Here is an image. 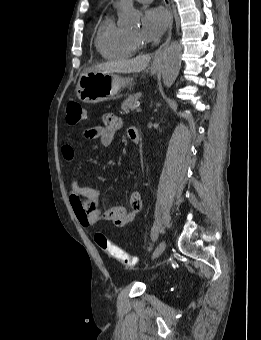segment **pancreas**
Segmentation results:
<instances>
[{"mask_svg": "<svg viewBox=\"0 0 261 340\" xmlns=\"http://www.w3.org/2000/svg\"><path fill=\"white\" fill-rule=\"evenodd\" d=\"M140 97H141V93L129 95L128 98L124 100V102L122 103L121 109L125 113H130V111H133L136 108V105Z\"/></svg>", "mask_w": 261, "mask_h": 340, "instance_id": "cf45deb5", "label": "pancreas"}]
</instances>
